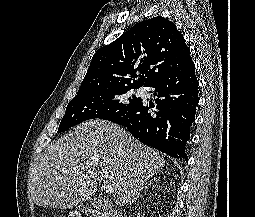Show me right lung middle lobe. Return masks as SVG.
Segmentation results:
<instances>
[{"label":"right lung middle lobe","instance_id":"right-lung-middle-lobe-1","mask_svg":"<svg viewBox=\"0 0 255 217\" xmlns=\"http://www.w3.org/2000/svg\"><path fill=\"white\" fill-rule=\"evenodd\" d=\"M138 87H119L113 89L78 92L68 103L58 133L89 119L111 120L133 110L141 98L131 94Z\"/></svg>","mask_w":255,"mask_h":217}]
</instances>
